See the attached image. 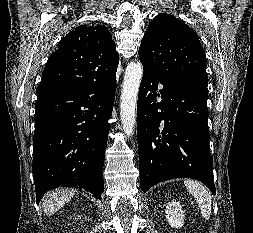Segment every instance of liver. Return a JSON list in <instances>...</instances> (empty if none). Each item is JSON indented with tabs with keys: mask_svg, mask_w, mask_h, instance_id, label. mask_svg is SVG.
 Returning <instances> with one entry per match:
<instances>
[{
	"mask_svg": "<svg viewBox=\"0 0 253 233\" xmlns=\"http://www.w3.org/2000/svg\"><path fill=\"white\" fill-rule=\"evenodd\" d=\"M74 195V191L70 189H57L47 194L43 201V210L46 215L54 214Z\"/></svg>",
	"mask_w": 253,
	"mask_h": 233,
	"instance_id": "1",
	"label": "liver"
}]
</instances>
